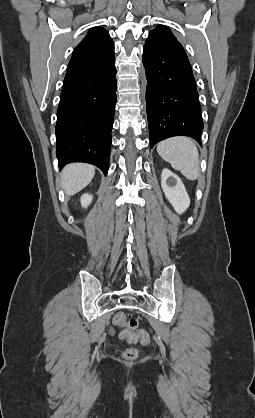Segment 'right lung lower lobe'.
Returning <instances> with one entry per match:
<instances>
[{
	"label": "right lung lower lobe",
	"mask_w": 255,
	"mask_h": 418,
	"mask_svg": "<svg viewBox=\"0 0 255 418\" xmlns=\"http://www.w3.org/2000/svg\"><path fill=\"white\" fill-rule=\"evenodd\" d=\"M116 89L115 57L67 69L56 123L60 168L71 162H87L107 174Z\"/></svg>",
	"instance_id": "98d812e1"
}]
</instances>
